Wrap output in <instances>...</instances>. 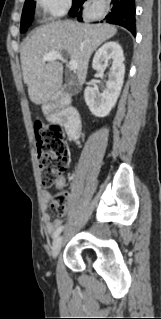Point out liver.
I'll list each match as a JSON object with an SVG mask.
<instances>
[{"instance_id":"1","label":"liver","mask_w":161,"mask_h":319,"mask_svg":"<svg viewBox=\"0 0 161 319\" xmlns=\"http://www.w3.org/2000/svg\"><path fill=\"white\" fill-rule=\"evenodd\" d=\"M117 33L109 24H81L73 21H54L36 29L24 43L20 58L24 83L30 100L35 104L49 101L62 85L63 65L58 61L46 63L42 57L50 51H65L76 60L77 78L85 82L92 53Z\"/></svg>"}]
</instances>
